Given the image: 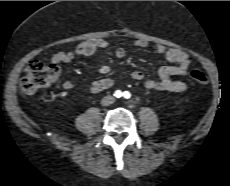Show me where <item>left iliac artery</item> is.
Listing matches in <instances>:
<instances>
[{"mask_svg":"<svg viewBox=\"0 0 230 186\" xmlns=\"http://www.w3.org/2000/svg\"><path fill=\"white\" fill-rule=\"evenodd\" d=\"M123 95H124V97H125L126 99H128V98H130L131 93L128 92V91H125Z\"/></svg>","mask_w":230,"mask_h":186,"instance_id":"44dca946","label":"left iliac artery"}]
</instances>
